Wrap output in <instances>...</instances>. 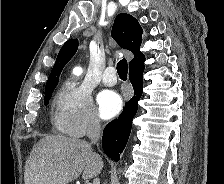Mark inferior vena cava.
I'll list each match as a JSON object with an SVG mask.
<instances>
[{
	"mask_svg": "<svg viewBox=\"0 0 224 184\" xmlns=\"http://www.w3.org/2000/svg\"><path fill=\"white\" fill-rule=\"evenodd\" d=\"M101 126L97 116H92L87 126V137L91 140V144H97L100 138Z\"/></svg>",
	"mask_w": 224,
	"mask_h": 184,
	"instance_id": "602c4592",
	"label": "inferior vena cava"
}]
</instances>
